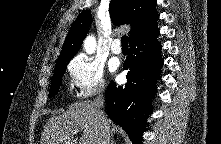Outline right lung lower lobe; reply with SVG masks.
Listing matches in <instances>:
<instances>
[{
	"label": "right lung lower lobe",
	"instance_id": "right-lung-lower-lobe-1",
	"mask_svg": "<svg viewBox=\"0 0 221 144\" xmlns=\"http://www.w3.org/2000/svg\"><path fill=\"white\" fill-rule=\"evenodd\" d=\"M157 25L129 41V55L124 62L127 83L117 86L113 81L106 91L107 114L125 129L135 144L142 142L148 116L153 112L152 99L156 81L161 78L162 46L156 40Z\"/></svg>",
	"mask_w": 221,
	"mask_h": 144
}]
</instances>
